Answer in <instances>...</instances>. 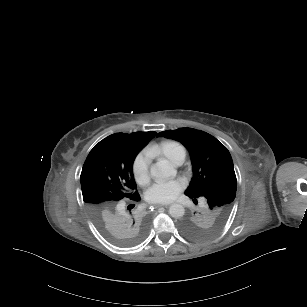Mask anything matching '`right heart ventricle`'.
<instances>
[{
	"instance_id": "e07e8e85",
	"label": "right heart ventricle",
	"mask_w": 307,
	"mask_h": 307,
	"mask_svg": "<svg viewBox=\"0 0 307 307\" xmlns=\"http://www.w3.org/2000/svg\"><path fill=\"white\" fill-rule=\"evenodd\" d=\"M183 152L185 153L186 155L188 154V147L183 144L182 142L178 141V140H169L167 143H166V147H165V152L164 154H168V153H171V152Z\"/></svg>"
}]
</instances>
